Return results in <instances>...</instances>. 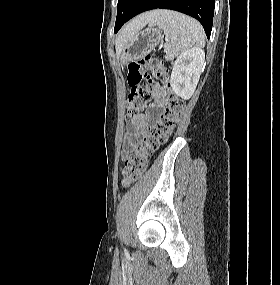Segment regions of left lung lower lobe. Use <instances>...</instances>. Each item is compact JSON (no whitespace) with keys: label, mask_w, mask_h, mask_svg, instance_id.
<instances>
[{"label":"left lung lower lobe","mask_w":280,"mask_h":285,"mask_svg":"<svg viewBox=\"0 0 280 285\" xmlns=\"http://www.w3.org/2000/svg\"><path fill=\"white\" fill-rule=\"evenodd\" d=\"M214 5L215 0H138L127 21L142 12L152 9L175 10L196 18L202 24L209 38L213 23ZM121 26L115 29V33Z\"/></svg>","instance_id":"1"}]
</instances>
